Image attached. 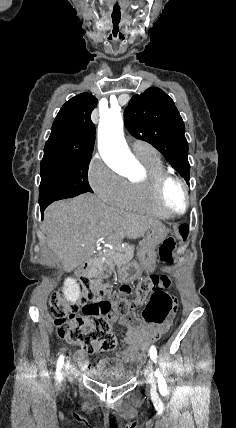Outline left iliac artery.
<instances>
[{
    "label": "left iliac artery",
    "mask_w": 236,
    "mask_h": 428,
    "mask_svg": "<svg viewBox=\"0 0 236 428\" xmlns=\"http://www.w3.org/2000/svg\"><path fill=\"white\" fill-rule=\"evenodd\" d=\"M149 353H150V358L156 363V358H157L156 348L154 346H151ZM155 376L156 377H162V375L160 374V371H158V369L155 371Z\"/></svg>",
    "instance_id": "left-iliac-artery-1"
}]
</instances>
